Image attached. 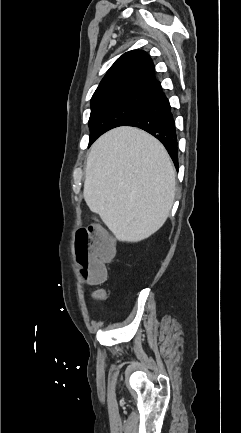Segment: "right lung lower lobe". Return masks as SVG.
I'll list each match as a JSON object with an SVG mask.
<instances>
[{"label": "right lung lower lobe", "mask_w": 241, "mask_h": 433, "mask_svg": "<svg viewBox=\"0 0 241 433\" xmlns=\"http://www.w3.org/2000/svg\"><path fill=\"white\" fill-rule=\"evenodd\" d=\"M123 126L139 127L152 134L165 146L175 166H178L175 121L162 88L158 89L150 102Z\"/></svg>", "instance_id": "right-lung-lower-lobe-1"}]
</instances>
